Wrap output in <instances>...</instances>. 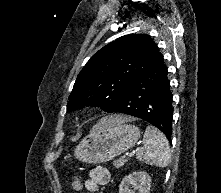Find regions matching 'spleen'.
<instances>
[{
	"label": "spleen",
	"instance_id": "1",
	"mask_svg": "<svg viewBox=\"0 0 221 193\" xmlns=\"http://www.w3.org/2000/svg\"><path fill=\"white\" fill-rule=\"evenodd\" d=\"M144 149L137 152V158L146 164L160 168L170 162L169 143L162 132L153 126H147L143 137Z\"/></svg>",
	"mask_w": 221,
	"mask_h": 193
}]
</instances>
